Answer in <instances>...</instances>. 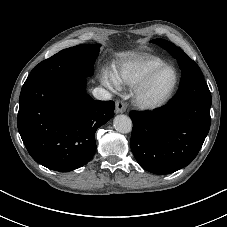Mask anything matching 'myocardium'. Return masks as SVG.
<instances>
[{
  "mask_svg": "<svg viewBox=\"0 0 227 227\" xmlns=\"http://www.w3.org/2000/svg\"><path fill=\"white\" fill-rule=\"evenodd\" d=\"M170 69L175 74V81L170 90L160 99L155 101H150L146 98V93L155 79V77L163 70ZM180 82V75L177 69L172 65H162L152 72H150L140 83H138L133 90V102L136 107L144 111H153L165 106L173 97L176 92Z\"/></svg>",
  "mask_w": 227,
  "mask_h": 227,
  "instance_id": "f54148a6",
  "label": "myocardium"
}]
</instances>
